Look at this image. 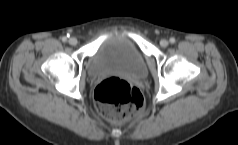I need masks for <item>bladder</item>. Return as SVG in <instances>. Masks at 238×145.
Returning a JSON list of instances; mask_svg holds the SVG:
<instances>
[{
  "label": "bladder",
  "mask_w": 238,
  "mask_h": 145,
  "mask_svg": "<svg viewBox=\"0 0 238 145\" xmlns=\"http://www.w3.org/2000/svg\"><path fill=\"white\" fill-rule=\"evenodd\" d=\"M92 78L107 73H118L134 79L147 75L145 58L129 38L120 37L103 43L93 54L88 66Z\"/></svg>",
  "instance_id": "bladder-1"
}]
</instances>
